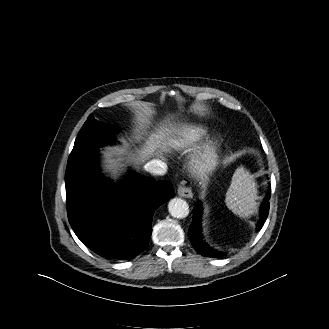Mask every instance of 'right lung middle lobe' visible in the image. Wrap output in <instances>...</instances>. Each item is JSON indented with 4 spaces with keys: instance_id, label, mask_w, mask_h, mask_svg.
Listing matches in <instances>:
<instances>
[{
    "instance_id": "right-lung-middle-lobe-1",
    "label": "right lung middle lobe",
    "mask_w": 329,
    "mask_h": 329,
    "mask_svg": "<svg viewBox=\"0 0 329 329\" xmlns=\"http://www.w3.org/2000/svg\"><path fill=\"white\" fill-rule=\"evenodd\" d=\"M114 133L115 130L111 125L97 121L92 114L89 115L75 140L67 164L74 162L89 151L111 143Z\"/></svg>"
}]
</instances>
